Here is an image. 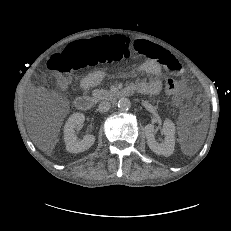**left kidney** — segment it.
<instances>
[{"label": "left kidney", "instance_id": "left-kidney-1", "mask_svg": "<svg viewBox=\"0 0 231 231\" xmlns=\"http://www.w3.org/2000/svg\"><path fill=\"white\" fill-rule=\"evenodd\" d=\"M161 133L165 136L163 143H158L155 139V126L147 124L145 126V135L149 148L158 155L170 156L173 154L175 146V125L167 119L165 120Z\"/></svg>", "mask_w": 231, "mask_h": 231}]
</instances>
